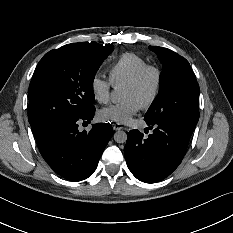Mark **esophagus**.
<instances>
[{"label":"esophagus","mask_w":233,"mask_h":233,"mask_svg":"<svg viewBox=\"0 0 233 233\" xmlns=\"http://www.w3.org/2000/svg\"><path fill=\"white\" fill-rule=\"evenodd\" d=\"M112 126H113V129H114L115 131H118V130H122V129H123V126H122V124H120V123H113Z\"/></svg>","instance_id":"esophagus-1"}]
</instances>
